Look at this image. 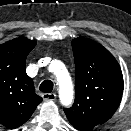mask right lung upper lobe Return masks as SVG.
<instances>
[{"instance_id":"right-lung-upper-lobe-1","label":"right lung upper lobe","mask_w":131,"mask_h":131,"mask_svg":"<svg viewBox=\"0 0 131 131\" xmlns=\"http://www.w3.org/2000/svg\"><path fill=\"white\" fill-rule=\"evenodd\" d=\"M36 41L15 38L0 45V124L17 128L32 115L42 98L26 74V57Z\"/></svg>"}]
</instances>
